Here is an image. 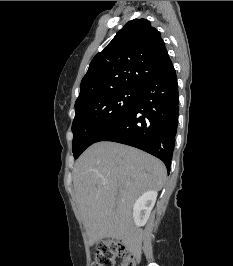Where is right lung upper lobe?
Returning <instances> with one entry per match:
<instances>
[{
    "label": "right lung upper lobe",
    "mask_w": 233,
    "mask_h": 266,
    "mask_svg": "<svg viewBox=\"0 0 233 266\" xmlns=\"http://www.w3.org/2000/svg\"><path fill=\"white\" fill-rule=\"evenodd\" d=\"M171 65L160 32L146 19L131 20L92 59L76 103L101 92L140 90Z\"/></svg>",
    "instance_id": "1"
}]
</instances>
